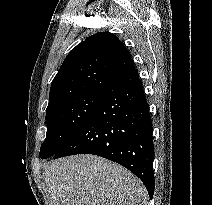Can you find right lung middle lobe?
Returning a JSON list of instances; mask_svg holds the SVG:
<instances>
[{
    "label": "right lung middle lobe",
    "mask_w": 212,
    "mask_h": 205,
    "mask_svg": "<svg viewBox=\"0 0 212 205\" xmlns=\"http://www.w3.org/2000/svg\"><path fill=\"white\" fill-rule=\"evenodd\" d=\"M102 92L90 93L64 101L46 113L47 135L39 156H54L91 115Z\"/></svg>",
    "instance_id": "dd1d6c3e"
}]
</instances>
